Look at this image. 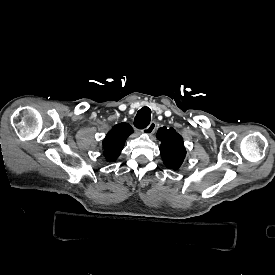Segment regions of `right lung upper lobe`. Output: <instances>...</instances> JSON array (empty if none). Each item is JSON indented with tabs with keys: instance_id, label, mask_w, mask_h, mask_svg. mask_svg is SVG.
Listing matches in <instances>:
<instances>
[{
	"instance_id": "1",
	"label": "right lung upper lobe",
	"mask_w": 275,
	"mask_h": 275,
	"mask_svg": "<svg viewBox=\"0 0 275 275\" xmlns=\"http://www.w3.org/2000/svg\"><path fill=\"white\" fill-rule=\"evenodd\" d=\"M131 133H133L132 127L125 122L112 127L102 142L104 155L108 160L114 161L118 158Z\"/></svg>"
}]
</instances>
